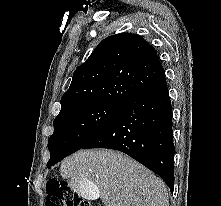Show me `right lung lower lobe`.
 Masks as SVG:
<instances>
[{
  "mask_svg": "<svg viewBox=\"0 0 221 206\" xmlns=\"http://www.w3.org/2000/svg\"><path fill=\"white\" fill-rule=\"evenodd\" d=\"M108 148L131 156L174 187L172 109L165 77L129 103L82 149Z\"/></svg>",
  "mask_w": 221,
  "mask_h": 206,
  "instance_id": "obj_1",
  "label": "right lung lower lobe"
}]
</instances>
